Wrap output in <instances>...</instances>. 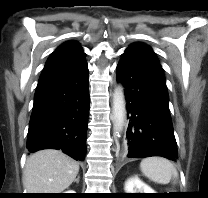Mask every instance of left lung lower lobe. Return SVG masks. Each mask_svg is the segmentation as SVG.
Wrapping results in <instances>:
<instances>
[{
  "instance_id": "1",
  "label": "left lung lower lobe",
  "mask_w": 208,
  "mask_h": 198,
  "mask_svg": "<svg viewBox=\"0 0 208 198\" xmlns=\"http://www.w3.org/2000/svg\"><path fill=\"white\" fill-rule=\"evenodd\" d=\"M116 79L125 87L129 114V158L161 156L176 161L165 76L153 50L142 43L130 45L116 69Z\"/></svg>"
}]
</instances>
